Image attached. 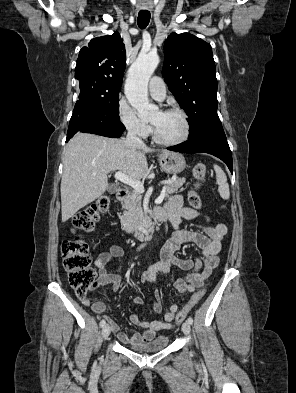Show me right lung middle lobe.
Segmentation results:
<instances>
[{"instance_id": "obj_1", "label": "right lung middle lobe", "mask_w": 296, "mask_h": 393, "mask_svg": "<svg viewBox=\"0 0 296 393\" xmlns=\"http://www.w3.org/2000/svg\"><path fill=\"white\" fill-rule=\"evenodd\" d=\"M80 95L77 102L91 105L109 116L119 120V92L93 81L80 83Z\"/></svg>"}]
</instances>
